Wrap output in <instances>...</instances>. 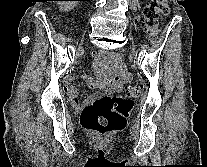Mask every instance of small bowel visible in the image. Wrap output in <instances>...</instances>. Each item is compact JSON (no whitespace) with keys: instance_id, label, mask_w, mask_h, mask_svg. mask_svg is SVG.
<instances>
[{"instance_id":"1","label":"small bowel","mask_w":207,"mask_h":167,"mask_svg":"<svg viewBox=\"0 0 207 167\" xmlns=\"http://www.w3.org/2000/svg\"><path fill=\"white\" fill-rule=\"evenodd\" d=\"M116 73L114 74L116 77H118L121 80H126L129 78V74L126 70V68L122 65H116ZM92 89H105L108 86L107 79L106 77H102L100 81H95L92 77L90 76H82L81 77ZM74 80L73 77H68L65 83V91L68 95V98L71 102V104L78 109H84L90 104H92L98 97V94L92 95L85 99L83 102L79 103L77 100L78 97V90L72 86V81Z\"/></svg>"}]
</instances>
